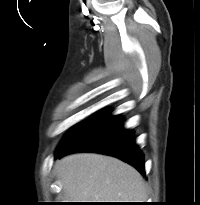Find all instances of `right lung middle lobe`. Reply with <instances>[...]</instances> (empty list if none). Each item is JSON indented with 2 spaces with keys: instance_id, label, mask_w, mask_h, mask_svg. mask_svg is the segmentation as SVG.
I'll use <instances>...</instances> for the list:
<instances>
[{
  "instance_id": "dd1d6c3e",
  "label": "right lung middle lobe",
  "mask_w": 200,
  "mask_h": 205,
  "mask_svg": "<svg viewBox=\"0 0 200 205\" xmlns=\"http://www.w3.org/2000/svg\"><path fill=\"white\" fill-rule=\"evenodd\" d=\"M106 113H101L100 115H97L93 118H91L89 121L78 125L76 127H74L68 134L67 136L63 139V141L61 142L60 147L66 145L68 142H70L74 137H76L81 131H83L86 127H88L90 124H92L94 121H96L98 118H100L101 116H103ZM58 148V149H59Z\"/></svg>"
}]
</instances>
